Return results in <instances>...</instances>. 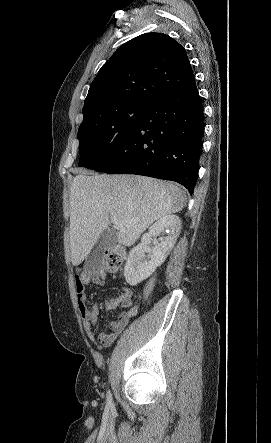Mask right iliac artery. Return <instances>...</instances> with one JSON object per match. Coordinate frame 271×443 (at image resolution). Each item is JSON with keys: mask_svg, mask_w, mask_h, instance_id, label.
<instances>
[{"mask_svg": "<svg viewBox=\"0 0 271 443\" xmlns=\"http://www.w3.org/2000/svg\"><path fill=\"white\" fill-rule=\"evenodd\" d=\"M107 404H108V406H112L113 405L112 394L110 393V391H108V393H107Z\"/></svg>", "mask_w": 271, "mask_h": 443, "instance_id": "82829eb1", "label": "right iliac artery"}]
</instances>
